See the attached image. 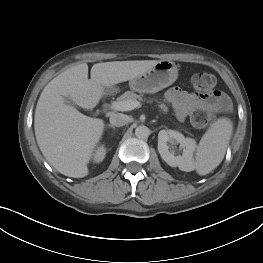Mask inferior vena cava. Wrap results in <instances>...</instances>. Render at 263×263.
Segmentation results:
<instances>
[{
	"mask_svg": "<svg viewBox=\"0 0 263 263\" xmlns=\"http://www.w3.org/2000/svg\"><path fill=\"white\" fill-rule=\"evenodd\" d=\"M109 121L112 126L121 127L127 123V116L121 113H113Z\"/></svg>",
	"mask_w": 263,
	"mask_h": 263,
	"instance_id": "1",
	"label": "inferior vena cava"
}]
</instances>
